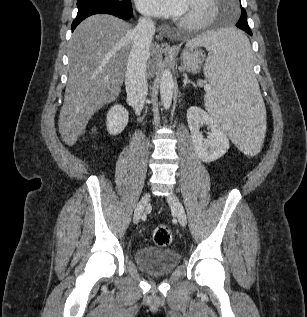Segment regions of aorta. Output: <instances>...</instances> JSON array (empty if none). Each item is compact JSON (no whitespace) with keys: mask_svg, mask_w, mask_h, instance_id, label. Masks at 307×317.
I'll return each instance as SVG.
<instances>
[{"mask_svg":"<svg viewBox=\"0 0 307 317\" xmlns=\"http://www.w3.org/2000/svg\"><path fill=\"white\" fill-rule=\"evenodd\" d=\"M174 81L169 69H165L160 80V96L163 107L167 110L170 108L173 98Z\"/></svg>","mask_w":307,"mask_h":317,"instance_id":"1","label":"aorta"}]
</instances>
